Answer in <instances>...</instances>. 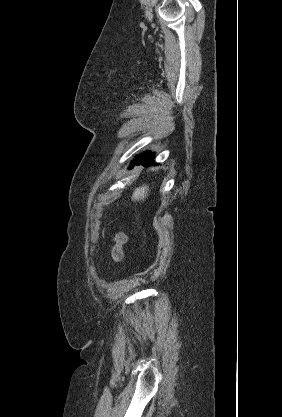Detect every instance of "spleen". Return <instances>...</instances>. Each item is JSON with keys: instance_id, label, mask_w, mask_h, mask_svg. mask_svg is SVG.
<instances>
[{"instance_id": "3e777b00", "label": "spleen", "mask_w": 282, "mask_h": 417, "mask_svg": "<svg viewBox=\"0 0 282 417\" xmlns=\"http://www.w3.org/2000/svg\"><path fill=\"white\" fill-rule=\"evenodd\" d=\"M148 186L147 184H142V186H138L136 190H134L132 194V200H143V198H146L148 196Z\"/></svg>"}]
</instances>
